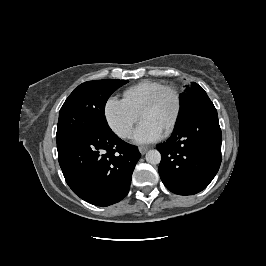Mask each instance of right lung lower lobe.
Listing matches in <instances>:
<instances>
[{
	"instance_id": "obj_1",
	"label": "right lung lower lobe",
	"mask_w": 266,
	"mask_h": 266,
	"mask_svg": "<svg viewBox=\"0 0 266 266\" xmlns=\"http://www.w3.org/2000/svg\"><path fill=\"white\" fill-rule=\"evenodd\" d=\"M141 154L111 129L76 139L58 149L63 175L72 191L96 206H109L129 192Z\"/></svg>"
}]
</instances>
